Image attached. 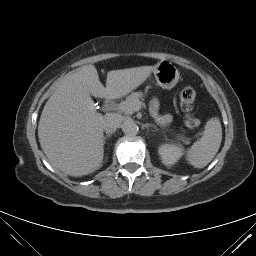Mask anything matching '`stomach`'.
I'll use <instances>...</instances> for the list:
<instances>
[{
	"instance_id": "0dacf381",
	"label": "stomach",
	"mask_w": 256,
	"mask_h": 256,
	"mask_svg": "<svg viewBox=\"0 0 256 256\" xmlns=\"http://www.w3.org/2000/svg\"><path fill=\"white\" fill-rule=\"evenodd\" d=\"M153 74L157 84L163 88L170 90L176 86L179 81L178 69L169 61L162 60L152 66L149 77Z\"/></svg>"
}]
</instances>
